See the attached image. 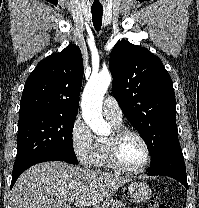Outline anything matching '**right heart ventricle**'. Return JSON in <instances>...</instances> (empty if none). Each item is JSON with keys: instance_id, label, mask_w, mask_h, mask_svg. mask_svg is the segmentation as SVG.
I'll list each match as a JSON object with an SVG mask.
<instances>
[{"instance_id": "right-heart-ventricle-1", "label": "right heart ventricle", "mask_w": 199, "mask_h": 208, "mask_svg": "<svg viewBox=\"0 0 199 208\" xmlns=\"http://www.w3.org/2000/svg\"><path fill=\"white\" fill-rule=\"evenodd\" d=\"M113 125L115 129L121 128V125H115V124ZM105 143L106 141L102 139H99L96 142V154L94 157L93 166H95L96 168H102V169H115L108 160Z\"/></svg>"}]
</instances>
